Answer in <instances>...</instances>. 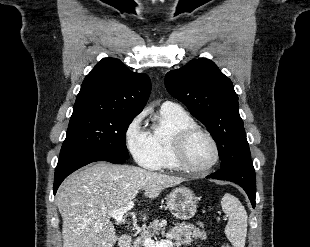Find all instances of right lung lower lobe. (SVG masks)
I'll list each match as a JSON object with an SVG mask.
<instances>
[{"instance_id": "1", "label": "right lung lower lobe", "mask_w": 310, "mask_h": 247, "mask_svg": "<svg viewBox=\"0 0 310 247\" xmlns=\"http://www.w3.org/2000/svg\"><path fill=\"white\" fill-rule=\"evenodd\" d=\"M96 161H107L114 164H122L126 160L106 154L75 153L59 158L55 169L53 192L56 193L62 181L75 170Z\"/></svg>"}]
</instances>
